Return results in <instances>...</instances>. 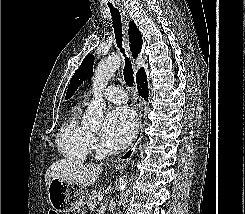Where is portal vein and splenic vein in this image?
I'll use <instances>...</instances> for the list:
<instances>
[{
	"label": "portal vein and splenic vein",
	"instance_id": "1",
	"mask_svg": "<svg viewBox=\"0 0 245 214\" xmlns=\"http://www.w3.org/2000/svg\"><path fill=\"white\" fill-rule=\"evenodd\" d=\"M102 199H103V196L100 194V195H98V200L99 201H102Z\"/></svg>",
	"mask_w": 245,
	"mask_h": 214
}]
</instances>
